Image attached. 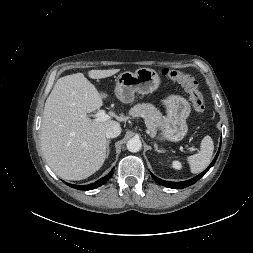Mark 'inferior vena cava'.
Returning a JSON list of instances; mask_svg holds the SVG:
<instances>
[{"label":"inferior vena cava","instance_id":"602c4592","mask_svg":"<svg viewBox=\"0 0 253 253\" xmlns=\"http://www.w3.org/2000/svg\"><path fill=\"white\" fill-rule=\"evenodd\" d=\"M121 133V127L118 124H114L107 128L105 132L106 138H114L119 136Z\"/></svg>","mask_w":253,"mask_h":253}]
</instances>
